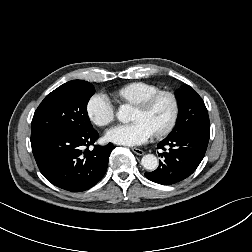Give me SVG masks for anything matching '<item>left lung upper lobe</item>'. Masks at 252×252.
I'll return each mask as SVG.
<instances>
[{"instance_id":"obj_1","label":"left lung upper lobe","mask_w":252,"mask_h":252,"mask_svg":"<svg viewBox=\"0 0 252 252\" xmlns=\"http://www.w3.org/2000/svg\"><path fill=\"white\" fill-rule=\"evenodd\" d=\"M179 102V116L177 124L168 135L172 137L181 132L191 129H208L210 130L209 116L202 98L195 90L184 85L177 92Z\"/></svg>"}]
</instances>
